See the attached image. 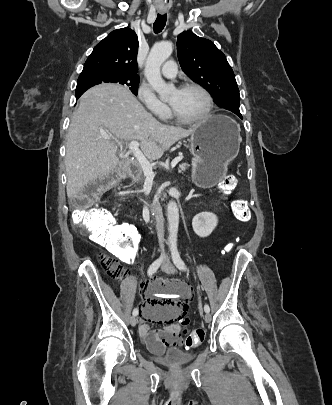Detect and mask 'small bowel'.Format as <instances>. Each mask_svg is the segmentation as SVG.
Listing matches in <instances>:
<instances>
[{
  "label": "small bowel",
  "instance_id": "c3829d8e",
  "mask_svg": "<svg viewBox=\"0 0 332 405\" xmlns=\"http://www.w3.org/2000/svg\"><path fill=\"white\" fill-rule=\"evenodd\" d=\"M176 286L186 288H174ZM189 300L190 289L176 281L156 280L145 288L139 333L147 349L171 353L176 347H184L183 328L178 320L187 315L184 311ZM152 322L163 323V328L154 329Z\"/></svg>",
  "mask_w": 332,
  "mask_h": 405
}]
</instances>
